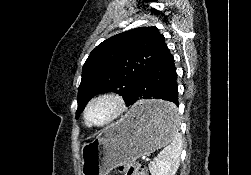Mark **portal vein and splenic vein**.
<instances>
[{
	"mask_svg": "<svg viewBox=\"0 0 251 175\" xmlns=\"http://www.w3.org/2000/svg\"><path fill=\"white\" fill-rule=\"evenodd\" d=\"M140 159H141L143 162H149V161H150V158L147 157L146 155H141V156H140Z\"/></svg>",
	"mask_w": 251,
	"mask_h": 175,
	"instance_id": "obj_1",
	"label": "portal vein and splenic vein"
}]
</instances>
